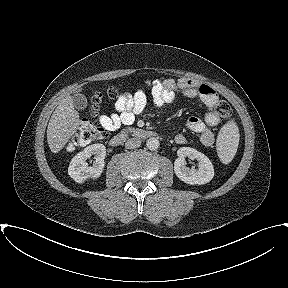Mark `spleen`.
<instances>
[{"instance_id":"3e777b00","label":"spleen","mask_w":288,"mask_h":288,"mask_svg":"<svg viewBox=\"0 0 288 288\" xmlns=\"http://www.w3.org/2000/svg\"><path fill=\"white\" fill-rule=\"evenodd\" d=\"M239 130L237 125L230 121L223 126L217 138V152L222 163H229L236 154L239 144Z\"/></svg>"}]
</instances>
